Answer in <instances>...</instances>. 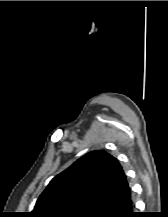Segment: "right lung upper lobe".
I'll return each mask as SVG.
<instances>
[{"label":"right lung upper lobe","instance_id":"cb5924a9","mask_svg":"<svg viewBox=\"0 0 168 217\" xmlns=\"http://www.w3.org/2000/svg\"><path fill=\"white\" fill-rule=\"evenodd\" d=\"M130 198L118 160L104 151H92L51 180L30 216L103 217Z\"/></svg>","mask_w":168,"mask_h":217}]
</instances>
